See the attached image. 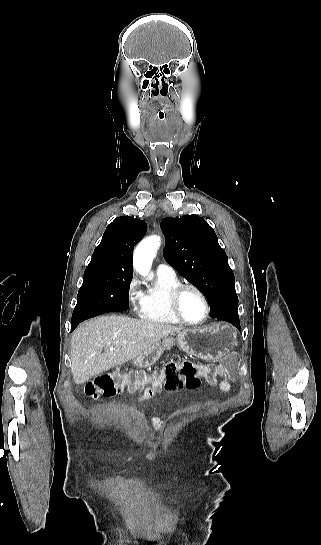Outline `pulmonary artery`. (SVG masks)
Masks as SVG:
<instances>
[{"mask_svg": "<svg viewBox=\"0 0 321 545\" xmlns=\"http://www.w3.org/2000/svg\"><path fill=\"white\" fill-rule=\"evenodd\" d=\"M156 271H157V273H160V274H163V275H167V276H171V277L176 276V270L170 264H168L166 262L159 263L157 268H156Z\"/></svg>", "mask_w": 321, "mask_h": 545, "instance_id": "obj_1", "label": "pulmonary artery"}]
</instances>
